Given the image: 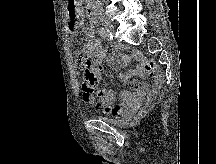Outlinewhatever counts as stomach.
Wrapping results in <instances>:
<instances>
[{"instance_id": "obj_1", "label": "stomach", "mask_w": 216, "mask_h": 164, "mask_svg": "<svg viewBox=\"0 0 216 164\" xmlns=\"http://www.w3.org/2000/svg\"><path fill=\"white\" fill-rule=\"evenodd\" d=\"M66 14H80V9H66Z\"/></svg>"}]
</instances>
